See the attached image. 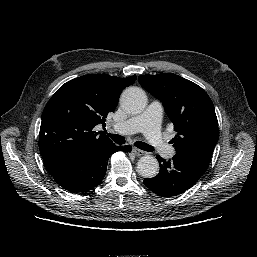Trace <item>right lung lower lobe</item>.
<instances>
[{
    "label": "right lung lower lobe",
    "mask_w": 257,
    "mask_h": 257,
    "mask_svg": "<svg viewBox=\"0 0 257 257\" xmlns=\"http://www.w3.org/2000/svg\"><path fill=\"white\" fill-rule=\"evenodd\" d=\"M115 151L130 152L131 146L112 144L71 163L52 176L64 189L71 192H87L101 183L105 176L110 155Z\"/></svg>",
    "instance_id": "1"
}]
</instances>
